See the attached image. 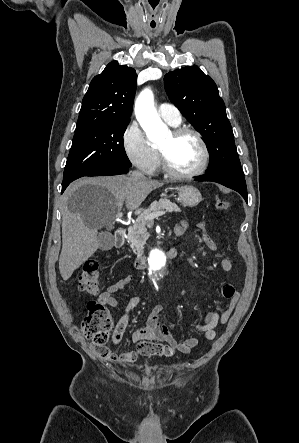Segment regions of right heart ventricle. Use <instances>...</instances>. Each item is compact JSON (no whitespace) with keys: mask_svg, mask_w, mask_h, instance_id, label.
Instances as JSON below:
<instances>
[{"mask_svg":"<svg viewBox=\"0 0 299 443\" xmlns=\"http://www.w3.org/2000/svg\"><path fill=\"white\" fill-rule=\"evenodd\" d=\"M172 126H173V125H172ZM156 154H157V159H158V161H159V156H158V153L156 152ZM158 161H157V165H158ZM157 165H156V166H157Z\"/></svg>","mask_w":299,"mask_h":443,"instance_id":"e07e8e85","label":"right heart ventricle"}]
</instances>
